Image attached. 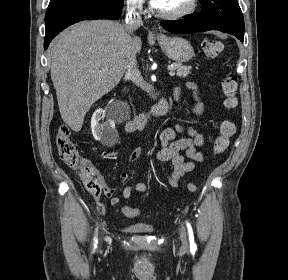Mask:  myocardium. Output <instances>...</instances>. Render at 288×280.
Masks as SVG:
<instances>
[{"label": "myocardium", "mask_w": 288, "mask_h": 280, "mask_svg": "<svg viewBox=\"0 0 288 280\" xmlns=\"http://www.w3.org/2000/svg\"><path fill=\"white\" fill-rule=\"evenodd\" d=\"M198 2L199 0H190L188 5L184 9L173 13H167L158 10V15L168 20H179L191 15L196 10Z\"/></svg>", "instance_id": "obj_1"}]
</instances>
